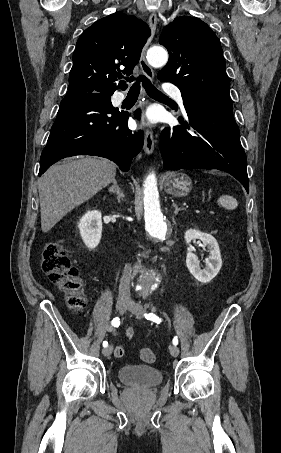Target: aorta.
Segmentation results:
<instances>
[{
    "instance_id": "762f6f07",
    "label": "aorta",
    "mask_w": 281,
    "mask_h": 453,
    "mask_svg": "<svg viewBox=\"0 0 281 453\" xmlns=\"http://www.w3.org/2000/svg\"><path fill=\"white\" fill-rule=\"evenodd\" d=\"M147 61L152 67H163L168 61V53L163 47H151L147 52ZM143 186L145 229L152 238L165 240L169 229L161 212L157 179L154 172L146 177ZM159 282V274L150 270L140 277L138 289L143 292L150 291L156 288Z\"/></svg>"
}]
</instances>
